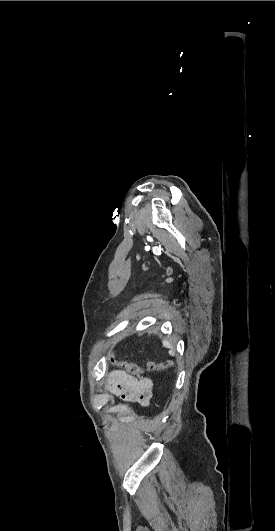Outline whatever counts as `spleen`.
I'll return each mask as SVG.
<instances>
[{
  "label": "spleen",
  "mask_w": 275,
  "mask_h": 531,
  "mask_svg": "<svg viewBox=\"0 0 275 531\" xmlns=\"http://www.w3.org/2000/svg\"><path fill=\"white\" fill-rule=\"evenodd\" d=\"M163 347H167V349H171V351H169V355H175L174 351H173V347L171 345V343H169V341H163Z\"/></svg>",
  "instance_id": "1"
}]
</instances>
